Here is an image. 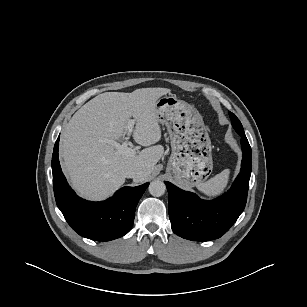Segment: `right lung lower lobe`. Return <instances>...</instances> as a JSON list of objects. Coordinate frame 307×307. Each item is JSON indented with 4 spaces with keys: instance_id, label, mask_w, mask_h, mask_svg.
Listing matches in <instances>:
<instances>
[{
    "instance_id": "98d812e1",
    "label": "right lung lower lobe",
    "mask_w": 307,
    "mask_h": 307,
    "mask_svg": "<svg viewBox=\"0 0 307 307\" xmlns=\"http://www.w3.org/2000/svg\"><path fill=\"white\" fill-rule=\"evenodd\" d=\"M58 148L59 137L52 156L54 195L72 229L80 236L96 241H110L128 233L134 222L137 203L149 183L125 186L102 202L86 201L69 187L59 164Z\"/></svg>"
}]
</instances>
